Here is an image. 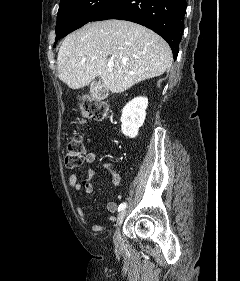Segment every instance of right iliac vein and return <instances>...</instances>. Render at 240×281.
I'll return each instance as SVG.
<instances>
[{"instance_id": "right-iliac-vein-1", "label": "right iliac vein", "mask_w": 240, "mask_h": 281, "mask_svg": "<svg viewBox=\"0 0 240 281\" xmlns=\"http://www.w3.org/2000/svg\"><path fill=\"white\" fill-rule=\"evenodd\" d=\"M125 216H126V210H122L117 216L116 230H115L114 235H113V240H114V243L117 247L122 246V237H121V234H120V226H121Z\"/></svg>"}]
</instances>
